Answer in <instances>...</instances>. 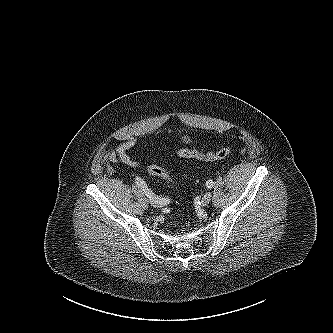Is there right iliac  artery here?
Here are the masks:
<instances>
[{
  "label": "right iliac artery",
  "mask_w": 333,
  "mask_h": 333,
  "mask_svg": "<svg viewBox=\"0 0 333 333\" xmlns=\"http://www.w3.org/2000/svg\"><path fill=\"white\" fill-rule=\"evenodd\" d=\"M135 183L137 184L138 187H140L142 189V191L145 193V195L147 197H149L150 199H155L157 202H159L162 205H166L170 202L169 198H161L156 196L147 186V184L145 183V181H143V179H141L140 177H136L135 178Z\"/></svg>",
  "instance_id": "1"
}]
</instances>
